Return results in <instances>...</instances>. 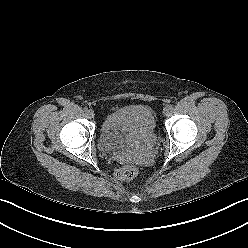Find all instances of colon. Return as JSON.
<instances>
[{
    "label": "colon",
    "instance_id": "obj_1",
    "mask_svg": "<svg viewBox=\"0 0 248 248\" xmlns=\"http://www.w3.org/2000/svg\"><path fill=\"white\" fill-rule=\"evenodd\" d=\"M138 173L139 170L135 165H126L119 168L115 176L120 181H131L137 177Z\"/></svg>",
    "mask_w": 248,
    "mask_h": 248
}]
</instances>
